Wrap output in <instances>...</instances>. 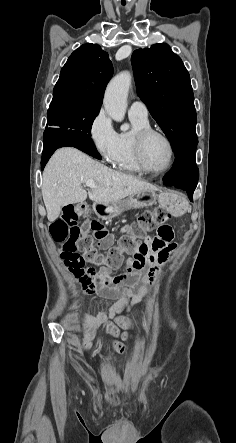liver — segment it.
<instances>
[{
  "mask_svg": "<svg viewBox=\"0 0 236 443\" xmlns=\"http://www.w3.org/2000/svg\"><path fill=\"white\" fill-rule=\"evenodd\" d=\"M87 180H93L97 185L88 193L82 187ZM153 189V185L112 170L75 148L57 150L43 172L42 196L50 222L59 217L63 206L84 202L87 195L96 203L111 204Z\"/></svg>",
  "mask_w": 236,
  "mask_h": 443,
  "instance_id": "liver-1",
  "label": "liver"
}]
</instances>
